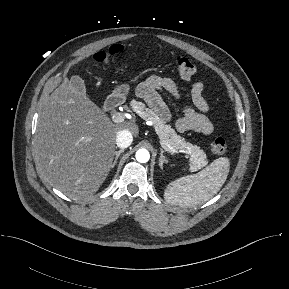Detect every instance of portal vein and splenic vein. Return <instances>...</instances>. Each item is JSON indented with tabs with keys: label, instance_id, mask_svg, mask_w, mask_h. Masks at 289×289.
<instances>
[{
	"label": "portal vein and splenic vein",
	"instance_id": "obj_1",
	"mask_svg": "<svg viewBox=\"0 0 289 289\" xmlns=\"http://www.w3.org/2000/svg\"><path fill=\"white\" fill-rule=\"evenodd\" d=\"M124 120L125 116L122 113L116 112L112 116V121L115 123H122L124 122ZM160 143L166 151L171 153H177L176 151L172 150V148L168 144L164 143V141H161Z\"/></svg>",
	"mask_w": 289,
	"mask_h": 289
}]
</instances>
